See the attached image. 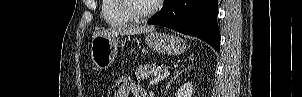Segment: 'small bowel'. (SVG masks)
I'll return each instance as SVG.
<instances>
[{
	"instance_id": "c3829d8e",
	"label": "small bowel",
	"mask_w": 302,
	"mask_h": 97,
	"mask_svg": "<svg viewBox=\"0 0 302 97\" xmlns=\"http://www.w3.org/2000/svg\"><path fill=\"white\" fill-rule=\"evenodd\" d=\"M133 93L135 97H143L144 91L137 86L129 76H122L115 86V97H128Z\"/></svg>"
}]
</instances>
